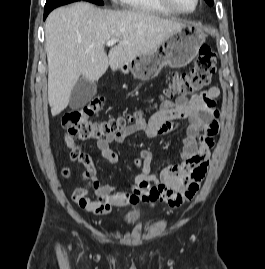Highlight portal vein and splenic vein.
Returning a JSON list of instances; mask_svg holds the SVG:
<instances>
[{
    "label": "portal vein and splenic vein",
    "instance_id": "18ae733b",
    "mask_svg": "<svg viewBox=\"0 0 265 269\" xmlns=\"http://www.w3.org/2000/svg\"><path fill=\"white\" fill-rule=\"evenodd\" d=\"M119 41V39L114 38V39H110L109 41H107V46L111 47L113 46L115 43H117Z\"/></svg>",
    "mask_w": 265,
    "mask_h": 269
}]
</instances>
